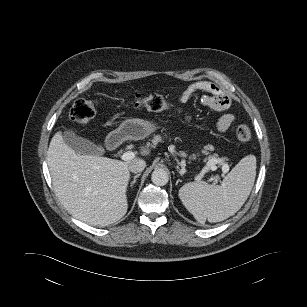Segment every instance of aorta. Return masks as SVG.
I'll return each mask as SVG.
<instances>
[{
	"instance_id": "obj_1",
	"label": "aorta",
	"mask_w": 307,
	"mask_h": 307,
	"mask_svg": "<svg viewBox=\"0 0 307 307\" xmlns=\"http://www.w3.org/2000/svg\"><path fill=\"white\" fill-rule=\"evenodd\" d=\"M153 184L157 186H164L168 183L169 175L168 172L163 168H156L151 175Z\"/></svg>"
}]
</instances>
